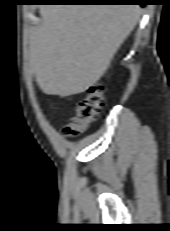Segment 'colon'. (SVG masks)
<instances>
[{
    "label": "colon",
    "instance_id": "1",
    "mask_svg": "<svg viewBox=\"0 0 170 231\" xmlns=\"http://www.w3.org/2000/svg\"><path fill=\"white\" fill-rule=\"evenodd\" d=\"M105 104V87L95 83L87 91L85 97L77 105L75 113L66 121L63 132L68 137H75L85 132L97 119Z\"/></svg>",
    "mask_w": 170,
    "mask_h": 231
}]
</instances>
